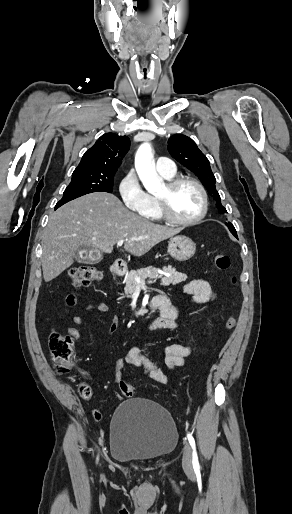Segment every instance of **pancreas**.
<instances>
[{"label":"pancreas","instance_id":"obj_1","mask_svg":"<svg viewBox=\"0 0 292 514\" xmlns=\"http://www.w3.org/2000/svg\"><path fill=\"white\" fill-rule=\"evenodd\" d=\"M159 268H153V266H149V268H141V270H131L128 272L126 276V288L125 294H133L134 290H136L137 284L135 278H140V282H145L147 278L150 280H158L160 278L158 274ZM163 272H167L170 274L168 278H161V286H170V284H179V282H185L187 276L186 274H181V272H175L174 268L168 266V268H163Z\"/></svg>","mask_w":292,"mask_h":514}]
</instances>
